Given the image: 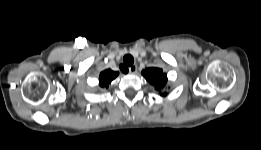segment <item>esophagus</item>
Returning <instances> with one entry per match:
<instances>
[{"label": "esophagus", "instance_id": "esophagus-1", "mask_svg": "<svg viewBox=\"0 0 261 150\" xmlns=\"http://www.w3.org/2000/svg\"><path fill=\"white\" fill-rule=\"evenodd\" d=\"M136 71H137V65L134 64L129 67V73L134 74L136 73Z\"/></svg>", "mask_w": 261, "mask_h": 150}]
</instances>
